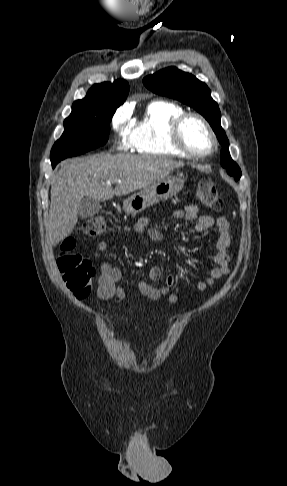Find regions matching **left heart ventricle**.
<instances>
[{"mask_svg":"<svg viewBox=\"0 0 287 486\" xmlns=\"http://www.w3.org/2000/svg\"><path fill=\"white\" fill-rule=\"evenodd\" d=\"M183 140L185 145L195 152H206L211 147V139L196 119L188 120L183 127Z\"/></svg>","mask_w":287,"mask_h":486,"instance_id":"obj_1","label":"left heart ventricle"}]
</instances>
